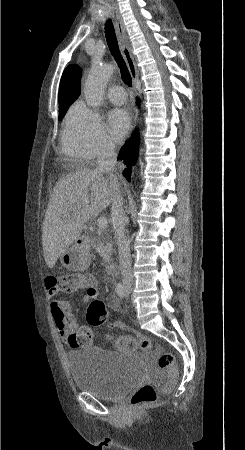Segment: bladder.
<instances>
[{"instance_id": "31cf9c89", "label": "bladder", "mask_w": 245, "mask_h": 450, "mask_svg": "<svg viewBox=\"0 0 245 450\" xmlns=\"http://www.w3.org/2000/svg\"><path fill=\"white\" fill-rule=\"evenodd\" d=\"M75 388L101 400H116L138 388L145 379L146 366L139 355L89 347L66 353Z\"/></svg>"}]
</instances>
